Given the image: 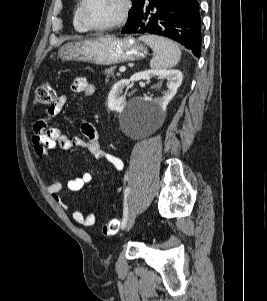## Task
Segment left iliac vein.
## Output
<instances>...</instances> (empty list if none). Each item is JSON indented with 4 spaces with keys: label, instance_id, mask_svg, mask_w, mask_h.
<instances>
[{
    "label": "left iliac vein",
    "instance_id": "left-iliac-vein-1",
    "mask_svg": "<svg viewBox=\"0 0 267 301\" xmlns=\"http://www.w3.org/2000/svg\"><path fill=\"white\" fill-rule=\"evenodd\" d=\"M135 218H136V210L132 207L130 209L129 216H128V219H127V223H126V226H125V229L127 231H129L133 227L134 222H135Z\"/></svg>",
    "mask_w": 267,
    "mask_h": 301
}]
</instances>
